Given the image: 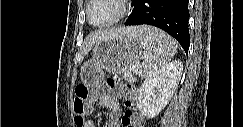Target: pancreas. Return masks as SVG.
<instances>
[{"label":"pancreas","mask_w":243,"mask_h":127,"mask_svg":"<svg viewBox=\"0 0 243 127\" xmlns=\"http://www.w3.org/2000/svg\"><path fill=\"white\" fill-rule=\"evenodd\" d=\"M129 80H130L131 82H135V81H136L135 78H130Z\"/></svg>","instance_id":"cf45deb5"}]
</instances>
